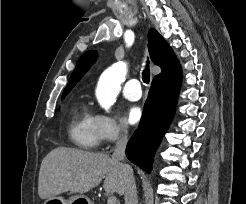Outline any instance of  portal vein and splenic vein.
<instances>
[{"mask_svg":"<svg viewBox=\"0 0 246 204\" xmlns=\"http://www.w3.org/2000/svg\"><path fill=\"white\" fill-rule=\"evenodd\" d=\"M107 204H117V198L114 196H111L107 200Z\"/></svg>","mask_w":246,"mask_h":204,"instance_id":"obj_1","label":"portal vein and splenic vein"}]
</instances>
